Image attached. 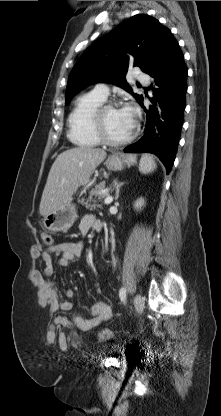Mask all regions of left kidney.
Here are the masks:
<instances>
[{
	"instance_id": "obj_1",
	"label": "left kidney",
	"mask_w": 221,
	"mask_h": 416,
	"mask_svg": "<svg viewBox=\"0 0 221 416\" xmlns=\"http://www.w3.org/2000/svg\"><path fill=\"white\" fill-rule=\"evenodd\" d=\"M142 206H144V199L140 198L135 202L134 207L138 210L141 209Z\"/></svg>"
}]
</instances>
